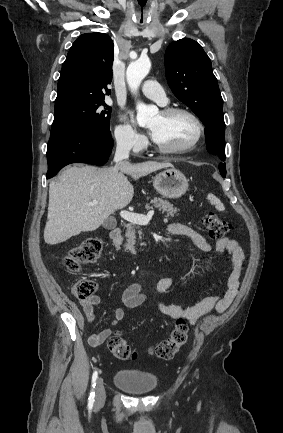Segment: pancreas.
<instances>
[{
	"label": "pancreas",
	"mask_w": 283,
	"mask_h": 433,
	"mask_svg": "<svg viewBox=\"0 0 283 433\" xmlns=\"http://www.w3.org/2000/svg\"><path fill=\"white\" fill-rule=\"evenodd\" d=\"M153 206H149L148 202L145 206L147 210L149 208H159V210H162V212H166V217H175L176 212H178L179 208H174L173 204H170L168 200H163V198H158V196H154L153 200ZM176 217H178V214H176ZM127 231L125 233V237L127 239V243L125 245L126 249H129L130 253L132 255H136V249H134V245L136 243V231L138 227H133V223H129V225H126Z\"/></svg>",
	"instance_id": "obj_1"
}]
</instances>
